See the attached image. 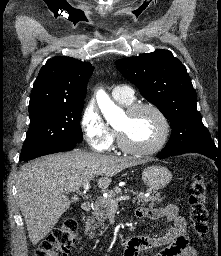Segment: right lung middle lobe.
<instances>
[{"instance_id":"right-lung-middle-lobe-1","label":"right lung middle lobe","mask_w":221,"mask_h":256,"mask_svg":"<svg viewBox=\"0 0 221 256\" xmlns=\"http://www.w3.org/2000/svg\"><path fill=\"white\" fill-rule=\"evenodd\" d=\"M84 102L60 104L29 110L30 127L22 148L21 158L41 148L60 142L80 143V126Z\"/></svg>"}]
</instances>
